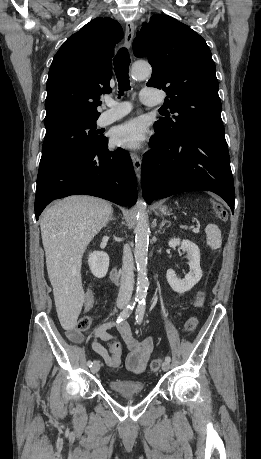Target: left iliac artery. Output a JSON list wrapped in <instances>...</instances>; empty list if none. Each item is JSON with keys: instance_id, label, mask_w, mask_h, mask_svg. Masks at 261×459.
I'll list each match as a JSON object with an SVG mask.
<instances>
[{"instance_id": "left-iliac-artery-1", "label": "left iliac artery", "mask_w": 261, "mask_h": 459, "mask_svg": "<svg viewBox=\"0 0 261 459\" xmlns=\"http://www.w3.org/2000/svg\"><path fill=\"white\" fill-rule=\"evenodd\" d=\"M145 309H146V302H145L144 299H142V300L139 301V304H138L137 309H136V322L138 324H141V322L143 320V317H144V314H145ZM165 360L170 362V360H171L170 356H166Z\"/></svg>"}]
</instances>
